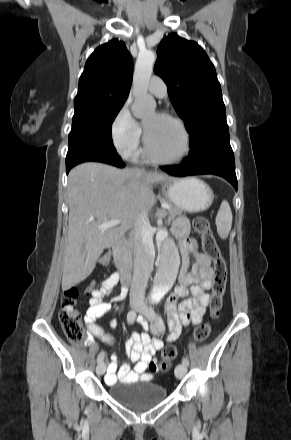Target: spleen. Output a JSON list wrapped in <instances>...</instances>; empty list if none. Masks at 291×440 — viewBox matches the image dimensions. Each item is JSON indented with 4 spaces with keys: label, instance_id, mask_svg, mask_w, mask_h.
Listing matches in <instances>:
<instances>
[{
    "label": "spleen",
    "instance_id": "spleen-1",
    "mask_svg": "<svg viewBox=\"0 0 291 440\" xmlns=\"http://www.w3.org/2000/svg\"><path fill=\"white\" fill-rule=\"evenodd\" d=\"M215 221L219 236L226 239L232 226V212L226 200L222 201Z\"/></svg>",
    "mask_w": 291,
    "mask_h": 440
}]
</instances>
